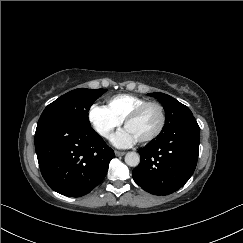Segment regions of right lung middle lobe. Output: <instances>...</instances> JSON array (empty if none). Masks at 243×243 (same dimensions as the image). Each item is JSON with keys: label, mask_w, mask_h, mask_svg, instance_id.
<instances>
[{"label": "right lung middle lobe", "mask_w": 243, "mask_h": 243, "mask_svg": "<svg viewBox=\"0 0 243 243\" xmlns=\"http://www.w3.org/2000/svg\"><path fill=\"white\" fill-rule=\"evenodd\" d=\"M106 91L107 89L79 88L62 95L45 108L37 126L51 121H65L91 127L88 111L94 101Z\"/></svg>", "instance_id": "right-lung-middle-lobe-1"}]
</instances>
